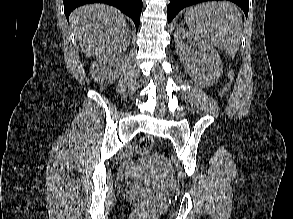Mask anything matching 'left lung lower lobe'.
Here are the masks:
<instances>
[{"label":"left lung lower lobe","instance_id":"0a47b994","mask_svg":"<svg viewBox=\"0 0 293 219\" xmlns=\"http://www.w3.org/2000/svg\"><path fill=\"white\" fill-rule=\"evenodd\" d=\"M205 1H211V0H170V4L167 7V17L168 22H170L180 10H182L184 7L205 2ZM231 2H234L237 4L245 13L246 17L248 15L249 10V2L248 0H228Z\"/></svg>","mask_w":293,"mask_h":219}]
</instances>
